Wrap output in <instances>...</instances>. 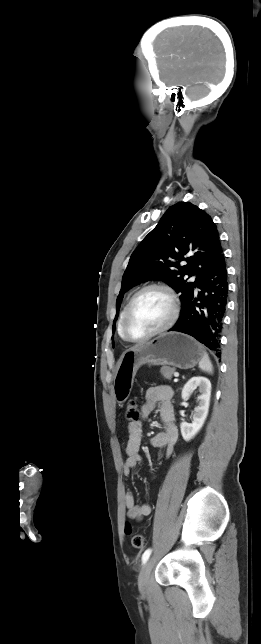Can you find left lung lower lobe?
I'll return each instance as SVG.
<instances>
[{
	"mask_svg": "<svg viewBox=\"0 0 261 644\" xmlns=\"http://www.w3.org/2000/svg\"><path fill=\"white\" fill-rule=\"evenodd\" d=\"M223 252L209 266L198 284L199 291L181 312L170 331L193 336L220 357V333L225 316L228 281Z\"/></svg>",
	"mask_w": 261,
	"mask_h": 644,
	"instance_id": "obj_1",
	"label": "left lung lower lobe"
}]
</instances>
